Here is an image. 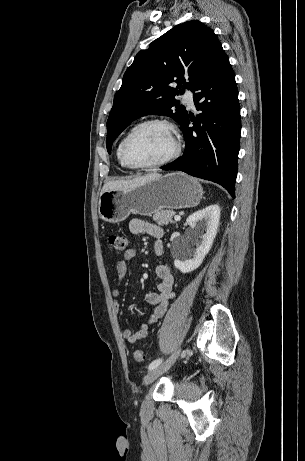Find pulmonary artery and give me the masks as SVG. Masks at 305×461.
Returning <instances> with one entry per match:
<instances>
[{"mask_svg":"<svg viewBox=\"0 0 305 461\" xmlns=\"http://www.w3.org/2000/svg\"><path fill=\"white\" fill-rule=\"evenodd\" d=\"M183 99L188 106L194 107V93L191 90L185 92Z\"/></svg>","mask_w":305,"mask_h":461,"instance_id":"obj_1","label":"pulmonary artery"}]
</instances>
